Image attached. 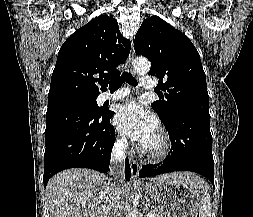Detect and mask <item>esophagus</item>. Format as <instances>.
I'll use <instances>...</instances> for the list:
<instances>
[{
  "instance_id": "obj_1",
  "label": "esophagus",
  "mask_w": 253,
  "mask_h": 217,
  "mask_svg": "<svg viewBox=\"0 0 253 217\" xmlns=\"http://www.w3.org/2000/svg\"><path fill=\"white\" fill-rule=\"evenodd\" d=\"M133 59H134V43L132 41L130 54H129V57L127 59L128 69L132 74L134 73V70H133V67H132ZM130 168H131L132 178L134 180L137 179L138 174H139V164L135 160L133 153L130 154Z\"/></svg>"
}]
</instances>
